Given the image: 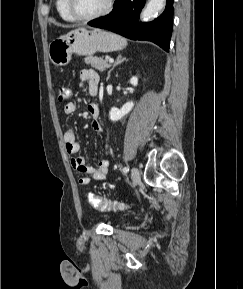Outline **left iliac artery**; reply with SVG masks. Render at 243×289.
<instances>
[{
  "label": "left iliac artery",
  "mask_w": 243,
  "mask_h": 289,
  "mask_svg": "<svg viewBox=\"0 0 243 289\" xmlns=\"http://www.w3.org/2000/svg\"><path fill=\"white\" fill-rule=\"evenodd\" d=\"M123 172H124V173H128V172H129V167H124V168H123Z\"/></svg>",
  "instance_id": "obj_1"
}]
</instances>
